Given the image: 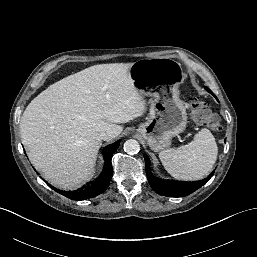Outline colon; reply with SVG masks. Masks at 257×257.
I'll return each mask as SVG.
<instances>
[{"label":"colon","instance_id":"5ec220e1","mask_svg":"<svg viewBox=\"0 0 257 257\" xmlns=\"http://www.w3.org/2000/svg\"><path fill=\"white\" fill-rule=\"evenodd\" d=\"M191 110L192 117L196 123L205 125L215 131L221 129L218 117L214 115L208 108L207 104L198 97L192 98Z\"/></svg>","mask_w":257,"mask_h":257}]
</instances>
